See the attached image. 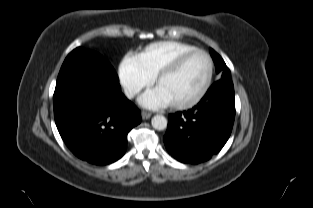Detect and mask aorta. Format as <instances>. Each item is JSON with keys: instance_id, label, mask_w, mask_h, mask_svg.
Masks as SVG:
<instances>
[{"instance_id": "762f6f07", "label": "aorta", "mask_w": 313, "mask_h": 208, "mask_svg": "<svg viewBox=\"0 0 313 208\" xmlns=\"http://www.w3.org/2000/svg\"><path fill=\"white\" fill-rule=\"evenodd\" d=\"M167 123V119L163 115H155L151 120V124L156 130H164Z\"/></svg>"}]
</instances>
